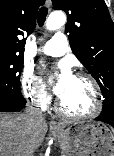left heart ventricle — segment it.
Listing matches in <instances>:
<instances>
[{"label":"left heart ventricle","mask_w":114,"mask_h":156,"mask_svg":"<svg viewBox=\"0 0 114 156\" xmlns=\"http://www.w3.org/2000/svg\"><path fill=\"white\" fill-rule=\"evenodd\" d=\"M64 110L71 114L89 113L95 104L94 91L83 78L73 77L64 93L60 96Z\"/></svg>","instance_id":"1"}]
</instances>
